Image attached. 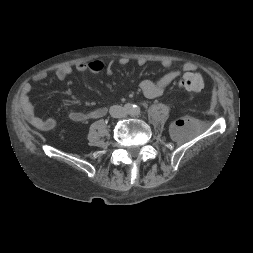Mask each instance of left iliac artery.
<instances>
[{
	"label": "left iliac artery",
	"instance_id": "44dca946",
	"mask_svg": "<svg viewBox=\"0 0 253 253\" xmlns=\"http://www.w3.org/2000/svg\"><path fill=\"white\" fill-rule=\"evenodd\" d=\"M135 112L137 113V114H139L140 113V108L138 107V106H135Z\"/></svg>",
	"mask_w": 253,
	"mask_h": 253
}]
</instances>
